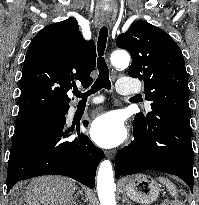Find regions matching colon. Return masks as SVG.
<instances>
[{
    "label": "colon",
    "mask_w": 199,
    "mask_h": 205,
    "mask_svg": "<svg viewBox=\"0 0 199 205\" xmlns=\"http://www.w3.org/2000/svg\"><path fill=\"white\" fill-rule=\"evenodd\" d=\"M164 205H170V203L169 202H165Z\"/></svg>",
    "instance_id": "1"
}]
</instances>
